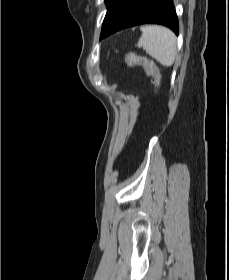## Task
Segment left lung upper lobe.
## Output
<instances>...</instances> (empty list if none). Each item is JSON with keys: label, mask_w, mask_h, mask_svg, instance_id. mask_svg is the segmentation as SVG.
Here are the masks:
<instances>
[{"label": "left lung upper lobe", "mask_w": 229, "mask_h": 280, "mask_svg": "<svg viewBox=\"0 0 229 280\" xmlns=\"http://www.w3.org/2000/svg\"><path fill=\"white\" fill-rule=\"evenodd\" d=\"M128 0H105L107 13L103 22L101 35L118 19Z\"/></svg>", "instance_id": "5c2ea615"}]
</instances>
